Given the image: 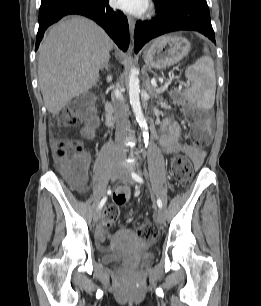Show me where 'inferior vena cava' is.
Listing matches in <instances>:
<instances>
[{"instance_id": "obj_1", "label": "inferior vena cava", "mask_w": 261, "mask_h": 306, "mask_svg": "<svg viewBox=\"0 0 261 306\" xmlns=\"http://www.w3.org/2000/svg\"><path fill=\"white\" fill-rule=\"evenodd\" d=\"M112 103L116 119V128L119 132H125L129 127L128 106L125 103V99L121 93L119 84L116 85V89L112 94ZM118 152L125 155L126 149L120 146Z\"/></svg>"}]
</instances>
